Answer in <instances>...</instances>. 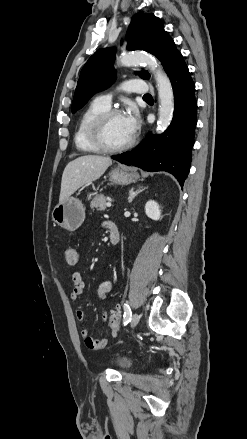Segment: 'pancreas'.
I'll return each instance as SVG.
<instances>
[{
	"instance_id": "cf45deb5",
	"label": "pancreas",
	"mask_w": 247,
	"mask_h": 439,
	"mask_svg": "<svg viewBox=\"0 0 247 439\" xmlns=\"http://www.w3.org/2000/svg\"><path fill=\"white\" fill-rule=\"evenodd\" d=\"M91 209L104 211L106 209V197L103 194L96 195L90 203Z\"/></svg>"
}]
</instances>
